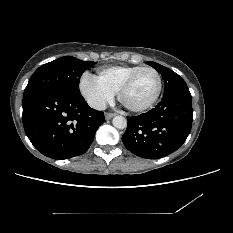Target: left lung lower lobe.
<instances>
[{
  "instance_id": "1",
  "label": "left lung lower lobe",
  "mask_w": 233,
  "mask_h": 233,
  "mask_svg": "<svg viewBox=\"0 0 233 233\" xmlns=\"http://www.w3.org/2000/svg\"><path fill=\"white\" fill-rule=\"evenodd\" d=\"M192 120L191 94L187 86L181 87L163 96L147 113L128 117L122 141L133 154L158 159L183 145L191 131Z\"/></svg>"
}]
</instances>
